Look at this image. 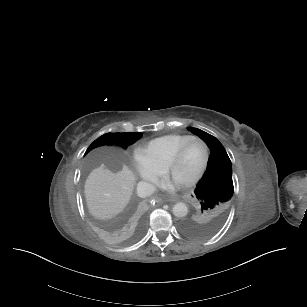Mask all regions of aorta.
<instances>
[{
    "label": "aorta",
    "instance_id": "762f6f07",
    "mask_svg": "<svg viewBox=\"0 0 307 307\" xmlns=\"http://www.w3.org/2000/svg\"><path fill=\"white\" fill-rule=\"evenodd\" d=\"M172 212L174 214V216L182 218L185 217L188 213V208L186 206L185 203L183 202H178L176 203L173 208H172Z\"/></svg>",
    "mask_w": 307,
    "mask_h": 307
}]
</instances>
